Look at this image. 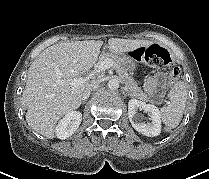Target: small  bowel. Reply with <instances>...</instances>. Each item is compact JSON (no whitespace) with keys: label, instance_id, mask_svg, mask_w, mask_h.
Wrapping results in <instances>:
<instances>
[{"label":"small bowel","instance_id":"obj_1","mask_svg":"<svg viewBox=\"0 0 209 179\" xmlns=\"http://www.w3.org/2000/svg\"><path fill=\"white\" fill-rule=\"evenodd\" d=\"M166 86V76L162 72L150 75L145 81V91L153 102H160Z\"/></svg>","mask_w":209,"mask_h":179}]
</instances>
